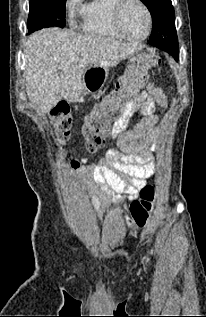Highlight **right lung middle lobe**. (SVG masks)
Instances as JSON below:
<instances>
[{"instance_id":"1","label":"right lung middle lobe","mask_w":206,"mask_h":317,"mask_svg":"<svg viewBox=\"0 0 206 317\" xmlns=\"http://www.w3.org/2000/svg\"><path fill=\"white\" fill-rule=\"evenodd\" d=\"M65 4L66 0H30L29 33L51 26L63 28L66 24Z\"/></svg>"}]
</instances>
